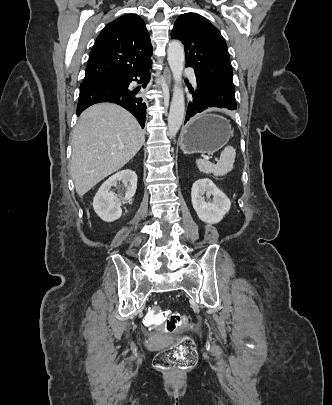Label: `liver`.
Masks as SVG:
<instances>
[{
  "label": "liver",
  "mask_w": 332,
  "mask_h": 405,
  "mask_svg": "<svg viewBox=\"0 0 332 405\" xmlns=\"http://www.w3.org/2000/svg\"><path fill=\"white\" fill-rule=\"evenodd\" d=\"M144 132L124 108L99 103L79 117L72 137L70 173L79 196L120 170L141 149Z\"/></svg>",
  "instance_id": "1"
}]
</instances>
